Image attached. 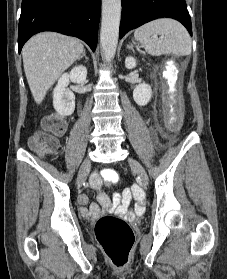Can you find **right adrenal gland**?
Returning <instances> with one entry per match:
<instances>
[{
	"label": "right adrenal gland",
	"instance_id": "right-adrenal-gland-1",
	"mask_svg": "<svg viewBox=\"0 0 227 279\" xmlns=\"http://www.w3.org/2000/svg\"><path fill=\"white\" fill-rule=\"evenodd\" d=\"M85 58L86 60H88V57L86 56V51L84 50L82 55L78 58V60L82 59V58Z\"/></svg>",
	"mask_w": 227,
	"mask_h": 279
}]
</instances>
